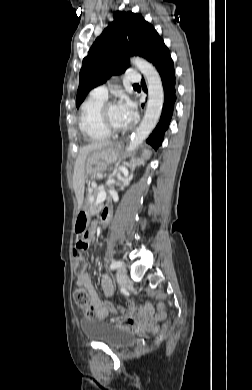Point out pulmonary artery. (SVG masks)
I'll return each mask as SVG.
<instances>
[{
  "label": "pulmonary artery",
  "mask_w": 252,
  "mask_h": 390,
  "mask_svg": "<svg viewBox=\"0 0 252 390\" xmlns=\"http://www.w3.org/2000/svg\"><path fill=\"white\" fill-rule=\"evenodd\" d=\"M126 80L130 82H138L140 81V75L132 70H128L126 72ZM107 94H108V90L105 85H100L95 87L90 93L91 96L102 98V99H106Z\"/></svg>",
  "instance_id": "pulmonary-artery-1"
}]
</instances>
